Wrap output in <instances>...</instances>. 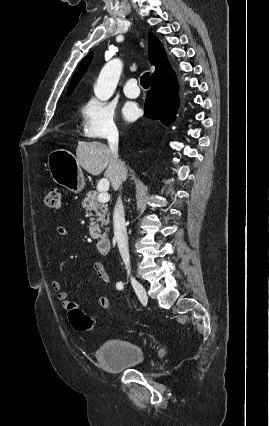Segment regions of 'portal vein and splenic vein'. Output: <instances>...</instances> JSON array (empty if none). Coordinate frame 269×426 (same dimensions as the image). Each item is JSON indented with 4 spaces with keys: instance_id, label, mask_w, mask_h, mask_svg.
I'll return each mask as SVG.
<instances>
[{
    "instance_id": "1",
    "label": "portal vein and splenic vein",
    "mask_w": 269,
    "mask_h": 426,
    "mask_svg": "<svg viewBox=\"0 0 269 426\" xmlns=\"http://www.w3.org/2000/svg\"><path fill=\"white\" fill-rule=\"evenodd\" d=\"M108 187H109V186H107V187L103 188V189L101 190V192L98 194V201H99V202H101V203H106V202H108V201H109V199H110V195H109V194H108V192H107Z\"/></svg>"
}]
</instances>
